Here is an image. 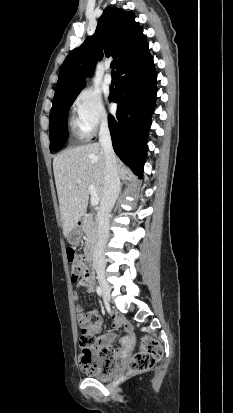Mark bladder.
Instances as JSON below:
<instances>
[{
    "mask_svg": "<svg viewBox=\"0 0 233 413\" xmlns=\"http://www.w3.org/2000/svg\"><path fill=\"white\" fill-rule=\"evenodd\" d=\"M113 373L110 372L108 374H91V378L96 379V380H100V381H106L109 380L112 377Z\"/></svg>",
    "mask_w": 233,
    "mask_h": 413,
    "instance_id": "bladder-1",
    "label": "bladder"
}]
</instances>
